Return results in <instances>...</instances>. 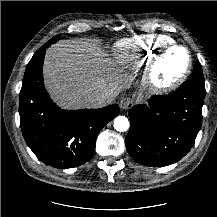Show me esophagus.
<instances>
[{
    "instance_id": "34e87169",
    "label": "esophagus",
    "mask_w": 217,
    "mask_h": 217,
    "mask_svg": "<svg viewBox=\"0 0 217 217\" xmlns=\"http://www.w3.org/2000/svg\"><path fill=\"white\" fill-rule=\"evenodd\" d=\"M134 105V100L130 97L123 98L120 102V107L122 110H128Z\"/></svg>"
}]
</instances>
